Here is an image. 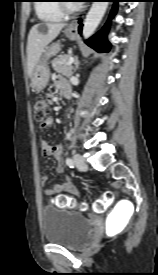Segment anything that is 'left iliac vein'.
<instances>
[{"label":"left iliac vein","mask_w":158,"mask_h":275,"mask_svg":"<svg viewBox=\"0 0 158 275\" xmlns=\"http://www.w3.org/2000/svg\"><path fill=\"white\" fill-rule=\"evenodd\" d=\"M75 167L81 171L87 170V164L85 160L78 154H75L73 157Z\"/></svg>","instance_id":"obj_1"}]
</instances>
